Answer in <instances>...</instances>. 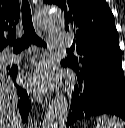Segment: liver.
Returning a JSON list of instances; mask_svg holds the SVG:
<instances>
[{
    "label": "liver",
    "mask_w": 125,
    "mask_h": 128,
    "mask_svg": "<svg viewBox=\"0 0 125 128\" xmlns=\"http://www.w3.org/2000/svg\"><path fill=\"white\" fill-rule=\"evenodd\" d=\"M16 88L9 76L0 71V128H21Z\"/></svg>",
    "instance_id": "1"
}]
</instances>
